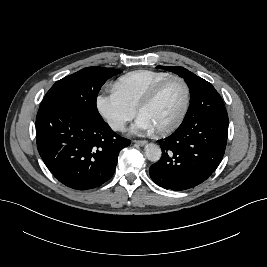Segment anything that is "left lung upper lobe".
<instances>
[{
  "label": "left lung upper lobe",
  "mask_w": 267,
  "mask_h": 267,
  "mask_svg": "<svg viewBox=\"0 0 267 267\" xmlns=\"http://www.w3.org/2000/svg\"><path fill=\"white\" fill-rule=\"evenodd\" d=\"M164 70L171 71L178 74L180 77L184 78L187 83L191 99L190 106L187 111V114L181 123L180 126H183L184 123L190 122L195 116V108L198 106L208 105L210 108L214 109L220 114H227L224 103L215 90V88L206 80L198 77L194 73L188 71L187 69L179 66H158Z\"/></svg>",
  "instance_id": "left-lung-upper-lobe-1"
}]
</instances>
